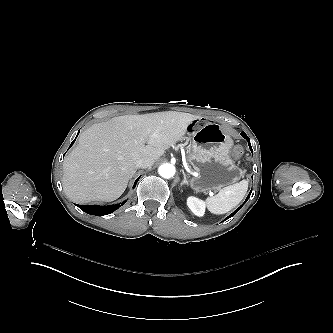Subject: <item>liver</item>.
<instances>
[{
	"mask_svg": "<svg viewBox=\"0 0 333 333\" xmlns=\"http://www.w3.org/2000/svg\"><path fill=\"white\" fill-rule=\"evenodd\" d=\"M198 118L167 111L118 116L93 124L64 159L65 194L79 204L118 199L136 172L137 161L158 160L166 149L183 140L187 126Z\"/></svg>",
	"mask_w": 333,
	"mask_h": 333,
	"instance_id": "6515ba94",
	"label": "liver"
}]
</instances>
